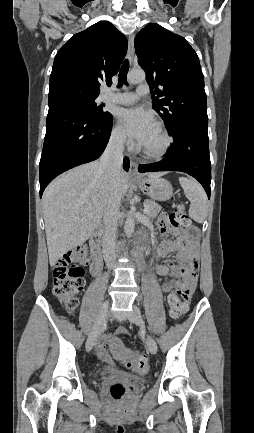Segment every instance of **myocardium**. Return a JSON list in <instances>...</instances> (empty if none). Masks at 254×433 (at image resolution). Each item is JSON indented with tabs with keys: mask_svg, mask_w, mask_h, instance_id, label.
<instances>
[{
	"mask_svg": "<svg viewBox=\"0 0 254 433\" xmlns=\"http://www.w3.org/2000/svg\"><path fill=\"white\" fill-rule=\"evenodd\" d=\"M155 127L158 129V131L162 135V137L164 139V143H163L162 147L158 150H149V149H146L143 146H141V152L148 159H161L162 157H164L169 152V150L171 149L172 144H173L172 136L170 135V133L168 132V130L164 127V125L162 123L157 122L155 124Z\"/></svg>",
	"mask_w": 254,
	"mask_h": 433,
	"instance_id": "f54148a6",
	"label": "myocardium"
}]
</instances>
